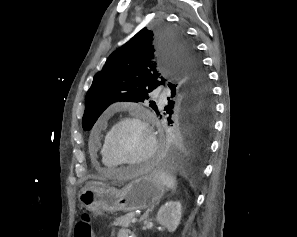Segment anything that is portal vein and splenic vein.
Masks as SVG:
<instances>
[{
    "label": "portal vein and splenic vein",
    "mask_w": 297,
    "mask_h": 237,
    "mask_svg": "<svg viewBox=\"0 0 297 237\" xmlns=\"http://www.w3.org/2000/svg\"><path fill=\"white\" fill-rule=\"evenodd\" d=\"M136 221H137V218H133V219L131 220V223H136Z\"/></svg>",
    "instance_id": "1"
}]
</instances>
